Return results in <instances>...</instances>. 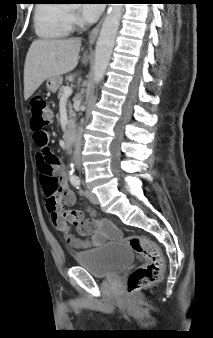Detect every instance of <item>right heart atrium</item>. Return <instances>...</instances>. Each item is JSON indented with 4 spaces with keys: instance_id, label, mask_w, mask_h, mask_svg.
I'll list each match as a JSON object with an SVG mask.
<instances>
[{
    "instance_id": "d8ad5b80",
    "label": "right heart atrium",
    "mask_w": 213,
    "mask_h": 338,
    "mask_svg": "<svg viewBox=\"0 0 213 338\" xmlns=\"http://www.w3.org/2000/svg\"><path fill=\"white\" fill-rule=\"evenodd\" d=\"M65 21L69 26H77L80 24L79 16L71 11L66 12Z\"/></svg>"
}]
</instances>
